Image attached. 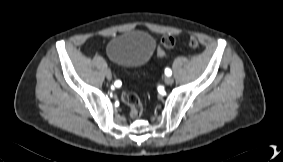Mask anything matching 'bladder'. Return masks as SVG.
I'll return each instance as SVG.
<instances>
[{
  "instance_id": "31cf9c89",
  "label": "bladder",
  "mask_w": 283,
  "mask_h": 162,
  "mask_svg": "<svg viewBox=\"0 0 283 162\" xmlns=\"http://www.w3.org/2000/svg\"><path fill=\"white\" fill-rule=\"evenodd\" d=\"M156 50V41L143 31H126L114 37L107 46L108 55L117 63L137 67L145 64Z\"/></svg>"
}]
</instances>
